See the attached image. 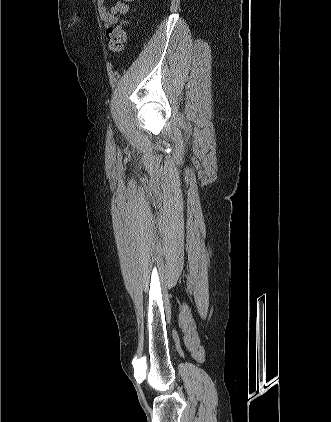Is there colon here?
<instances>
[{
  "label": "colon",
  "instance_id": "5ec220e1",
  "mask_svg": "<svg viewBox=\"0 0 331 422\" xmlns=\"http://www.w3.org/2000/svg\"><path fill=\"white\" fill-rule=\"evenodd\" d=\"M125 24L126 21L123 20L120 24L106 30L108 49L112 54H119L124 48L126 41Z\"/></svg>",
  "mask_w": 331,
  "mask_h": 422
}]
</instances>
